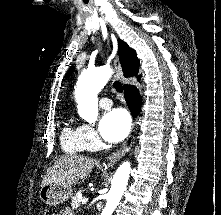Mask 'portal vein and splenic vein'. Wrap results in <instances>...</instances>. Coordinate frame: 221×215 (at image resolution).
<instances>
[{
  "instance_id": "1",
  "label": "portal vein and splenic vein",
  "mask_w": 221,
  "mask_h": 215,
  "mask_svg": "<svg viewBox=\"0 0 221 215\" xmlns=\"http://www.w3.org/2000/svg\"><path fill=\"white\" fill-rule=\"evenodd\" d=\"M81 202H82V204L87 203V202H88V198H83V199L81 200Z\"/></svg>"
}]
</instances>
